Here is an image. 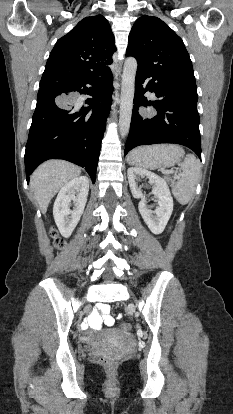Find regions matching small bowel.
Listing matches in <instances>:
<instances>
[{
  "instance_id": "1",
  "label": "small bowel",
  "mask_w": 233,
  "mask_h": 414,
  "mask_svg": "<svg viewBox=\"0 0 233 414\" xmlns=\"http://www.w3.org/2000/svg\"><path fill=\"white\" fill-rule=\"evenodd\" d=\"M110 306L102 300L96 302V308L90 314L86 324L83 327L89 326L92 329L99 330L103 325L112 326L114 318L109 314Z\"/></svg>"
}]
</instances>
